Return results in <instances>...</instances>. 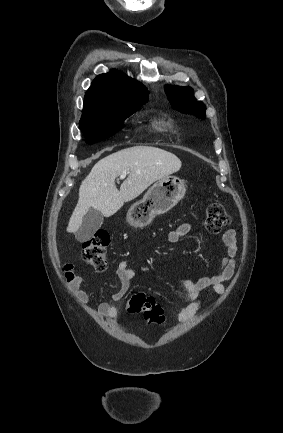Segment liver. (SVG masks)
Segmentation results:
<instances>
[{"instance_id":"liver-1","label":"liver","mask_w":283,"mask_h":433,"mask_svg":"<svg viewBox=\"0 0 283 433\" xmlns=\"http://www.w3.org/2000/svg\"><path fill=\"white\" fill-rule=\"evenodd\" d=\"M181 164L176 154L156 146H130L101 158L80 184L68 233L80 229L84 214L91 206L101 210L104 217H112L124 202L139 196L155 180L177 172ZM124 172L129 174L118 190L115 178Z\"/></svg>"}]
</instances>
